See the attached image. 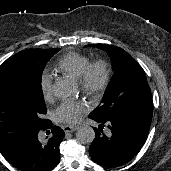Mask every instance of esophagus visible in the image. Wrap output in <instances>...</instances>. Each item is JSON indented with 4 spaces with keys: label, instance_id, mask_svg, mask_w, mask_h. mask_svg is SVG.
<instances>
[{
    "label": "esophagus",
    "instance_id": "34e87169",
    "mask_svg": "<svg viewBox=\"0 0 171 171\" xmlns=\"http://www.w3.org/2000/svg\"><path fill=\"white\" fill-rule=\"evenodd\" d=\"M62 129L64 130V132L66 133H70V132H74L78 129V126H74V125H65L62 127Z\"/></svg>",
    "mask_w": 171,
    "mask_h": 171
}]
</instances>
